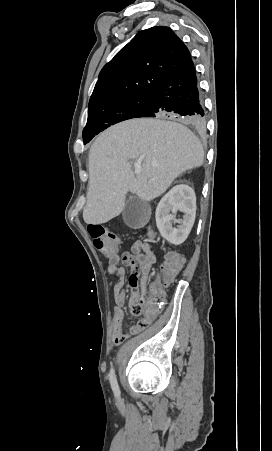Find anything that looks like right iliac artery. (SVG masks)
<instances>
[{
	"label": "right iliac artery",
	"instance_id": "right-iliac-artery-1",
	"mask_svg": "<svg viewBox=\"0 0 272 451\" xmlns=\"http://www.w3.org/2000/svg\"><path fill=\"white\" fill-rule=\"evenodd\" d=\"M109 380H110V384H111V387H112V390H113L115 396L119 397L120 396V389H119V386H118L117 379H116L115 372H114L113 368L110 370Z\"/></svg>",
	"mask_w": 272,
	"mask_h": 451
}]
</instances>
